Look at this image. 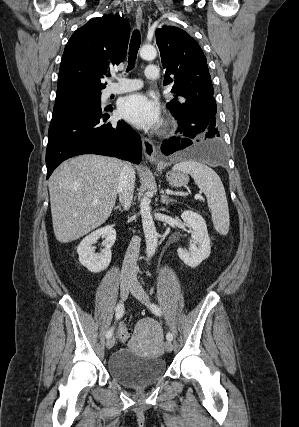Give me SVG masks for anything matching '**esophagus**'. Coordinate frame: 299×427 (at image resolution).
I'll return each instance as SVG.
<instances>
[{
	"mask_svg": "<svg viewBox=\"0 0 299 427\" xmlns=\"http://www.w3.org/2000/svg\"><path fill=\"white\" fill-rule=\"evenodd\" d=\"M135 18H136L137 26L140 27L143 22L142 9L140 7H138L136 10ZM142 145H143V151L146 159L151 163H155L157 160L158 152L154 143L150 139L146 137H142Z\"/></svg>",
	"mask_w": 299,
	"mask_h": 427,
	"instance_id": "34e87169",
	"label": "esophagus"
}]
</instances>
